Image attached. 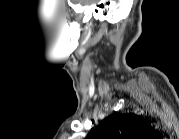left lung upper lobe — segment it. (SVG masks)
<instances>
[{
	"instance_id": "1",
	"label": "left lung upper lobe",
	"mask_w": 179,
	"mask_h": 139,
	"mask_svg": "<svg viewBox=\"0 0 179 139\" xmlns=\"http://www.w3.org/2000/svg\"><path fill=\"white\" fill-rule=\"evenodd\" d=\"M150 130L151 127L135 114H114L102 120L88 139H142Z\"/></svg>"
}]
</instances>
